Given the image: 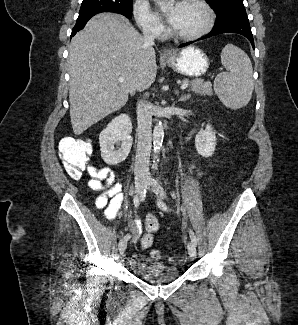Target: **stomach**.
Here are the masks:
<instances>
[{"label":"stomach","mask_w":298,"mask_h":325,"mask_svg":"<svg viewBox=\"0 0 298 325\" xmlns=\"http://www.w3.org/2000/svg\"><path fill=\"white\" fill-rule=\"evenodd\" d=\"M164 62L179 74L198 78L207 72L210 66V58L207 52H204L199 46H185L180 50H175L172 56H163Z\"/></svg>","instance_id":"obj_1"}]
</instances>
